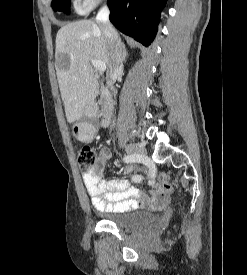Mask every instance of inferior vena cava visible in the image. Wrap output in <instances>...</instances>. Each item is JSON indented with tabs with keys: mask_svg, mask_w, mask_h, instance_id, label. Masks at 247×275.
<instances>
[{
	"mask_svg": "<svg viewBox=\"0 0 247 275\" xmlns=\"http://www.w3.org/2000/svg\"><path fill=\"white\" fill-rule=\"evenodd\" d=\"M96 21L107 40L110 54V65L107 72L108 85L114 96H116V90L114 89L113 84L115 83L117 77L123 72V44L109 21V9L107 6H103L100 9L97 14Z\"/></svg>",
	"mask_w": 247,
	"mask_h": 275,
	"instance_id": "1",
	"label": "inferior vena cava"
}]
</instances>
